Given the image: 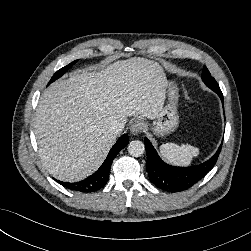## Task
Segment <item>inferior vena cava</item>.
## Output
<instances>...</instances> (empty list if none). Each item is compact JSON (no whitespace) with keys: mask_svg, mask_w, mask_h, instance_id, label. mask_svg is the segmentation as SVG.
Masks as SVG:
<instances>
[{"mask_svg":"<svg viewBox=\"0 0 251 251\" xmlns=\"http://www.w3.org/2000/svg\"><path fill=\"white\" fill-rule=\"evenodd\" d=\"M123 128H124V125L122 123L115 121L111 124L108 130L110 133L114 135H118L122 132Z\"/></svg>","mask_w":251,"mask_h":251,"instance_id":"602c4592","label":"inferior vena cava"}]
</instances>
